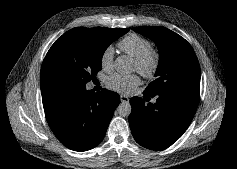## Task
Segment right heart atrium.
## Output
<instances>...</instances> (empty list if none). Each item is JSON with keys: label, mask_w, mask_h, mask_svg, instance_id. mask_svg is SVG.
Returning <instances> with one entry per match:
<instances>
[{"label": "right heart atrium", "mask_w": 237, "mask_h": 169, "mask_svg": "<svg viewBox=\"0 0 237 169\" xmlns=\"http://www.w3.org/2000/svg\"><path fill=\"white\" fill-rule=\"evenodd\" d=\"M114 48L112 46H107L104 48L101 54L100 62L101 66L105 70H110L113 64Z\"/></svg>", "instance_id": "right-heart-atrium-1"}]
</instances>
